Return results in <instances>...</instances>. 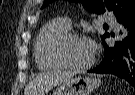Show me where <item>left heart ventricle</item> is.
I'll return each instance as SVG.
<instances>
[{"instance_id":"b2bd125f","label":"left heart ventricle","mask_w":135,"mask_h":95,"mask_svg":"<svg viewBox=\"0 0 135 95\" xmlns=\"http://www.w3.org/2000/svg\"><path fill=\"white\" fill-rule=\"evenodd\" d=\"M65 56L72 64H84L92 57L84 38L69 41L65 47Z\"/></svg>"}]
</instances>
